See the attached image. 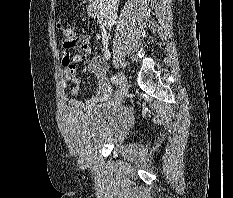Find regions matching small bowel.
Listing matches in <instances>:
<instances>
[{"label": "small bowel", "mask_w": 233, "mask_h": 198, "mask_svg": "<svg viewBox=\"0 0 233 198\" xmlns=\"http://www.w3.org/2000/svg\"><path fill=\"white\" fill-rule=\"evenodd\" d=\"M74 47L80 49L79 53L71 55L68 50L71 48H64L62 53V63L65 67V78L73 83L71 88V95L75 96L80 89V78L76 69V64L85 60L91 52L90 49V37L88 35H81L77 37ZM73 48V47H72ZM86 73H93L98 80V88L95 94H93L88 100L81 101L78 99H71L69 101V107L72 110H91L97 104L107 101L111 96V88L107 80V69L104 59L101 56H94L84 69Z\"/></svg>", "instance_id": "small-bowel-1"}]
</instances>
